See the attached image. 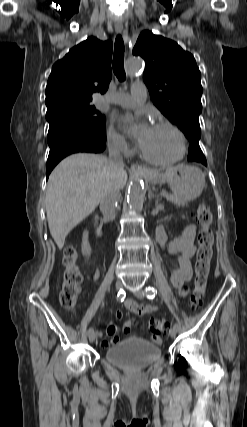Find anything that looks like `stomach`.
Wrapping results in <instances>:
<instances>
[{
  "mask_svg": "<svg viewBox=\"0 0 247 427\" xmlns=\"http://www.w3.org/2000/svg\"><path fill=\"white\" fill-rule=\"evenodd\" d=\"M148 181L152 184L169 183L173 195L183 202L197 199L205 186L203 172L195 166L183 164L161 173L156 172Z\"/></svg>",
  "mask_w": 247,
  "mask_h": 427,
  "instance_id": "0dacf381",
  "label": "stomach"
}]
</instances>
